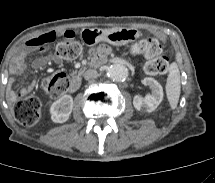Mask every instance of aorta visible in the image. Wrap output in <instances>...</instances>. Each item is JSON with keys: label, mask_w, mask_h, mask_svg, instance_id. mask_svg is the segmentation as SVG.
Here are the masks:
<instances>
[{"label": "aorta", "mask_w": 215, "mask_h": 183, "mask_svg": "<svg viewBox=\"0 0 215 183\" xmlns=\"http://www.w3.org/2000/svg\"><path fill=\"white\" fill-rule=\"evenodd\" d=\"M129 75L128 68L123 64H112L106 68V76L117 82H121L127 79Z\"/></svg>", "instance_id": "1"}]
</instances>
